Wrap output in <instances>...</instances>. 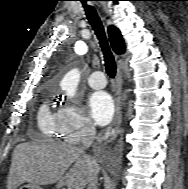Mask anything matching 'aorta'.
<instances>
[{"label":"aorta","mask_w":188,"mask_h":189,"mask_svg":"<svg viewBox=\"0 0 188 189\" xmlns=\"http://www.w3.org/2000/svg\"><path fill=\"white\" fill-rule=\"evenodd\" d=\"M79 81L80 72L78 69H73L63 77V79L60 82V86L62 90L66 92V95L68 97H74Z\"/></svg>","instance_id":"1"}]
</instances>
